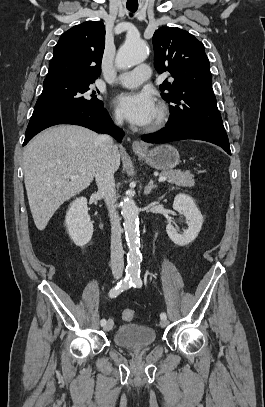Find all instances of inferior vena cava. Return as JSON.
<instances>
[{
	"label": "inferior vena cava",
	"instance_id": "obj_1",
	"mask_svg": "<svg viewBox=\"0 0 265 407\" xmlns=\"http://www.w3.org/2000/svg\"><path fill=\"white\" fill-rule=\"evenodd\" d=\"M116 124L122 125V119L116 117ZM99 153L95 169V179L98 193L104 199L111 223V269L114 277H122L124 269V251L121 241V225L119 215L114 207L116 203V190L112 157L115 152L113 138L109 135L98 137Z\"/></svg>",
	"mask_w": 265,
	"mask_h": 407
}]
</instances>
